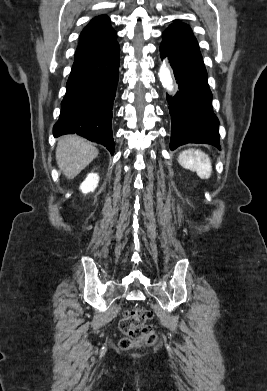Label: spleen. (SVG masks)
<instances>
[{
  "label": "spleen",
  "mask_w": 267,
  "mask_h": 391,
  "mask_svg": "<svg viewBox=\"0 0 267 391\" xmlns=\"http://www.w3.org/2000/svg\"><path fill=\"white\" fill-rule=\"evenodd\" d=\"M179 163L186 169L194 171L201 179H209L212 165L207 154L200 150L189 149L180 153Z\"/></svg>",
  "instance_id": "spleen-1"
}]
</instances>
